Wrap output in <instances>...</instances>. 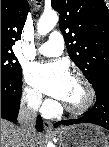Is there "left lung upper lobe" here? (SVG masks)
Instances as JSON below:
<instances>
[{
  "label": "left lung upper lobe",
  "mask_w": 109,
  "mask_h": 147,
  "mask_svg": "<svg viewBox=\"0 0 109 147\" xmlns=\"http://www.w3.org/2000/svg\"><path fill=\"white\" fill-rule=\"evenodd\" d=\"M72 61L93 87L109 77V9L103 0H52Z\"/></svg>",
  "instance_id": "1"
}]
</instances>
